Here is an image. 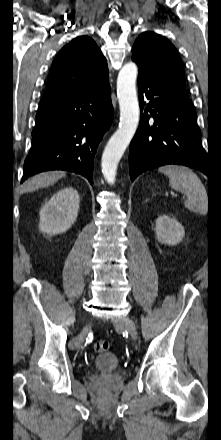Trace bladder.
<instances>
[{
	"label": "bladder",
	"instance_id": "31cf9c89",
	"mask_svg": "<svg viewBox=\"0 0 221 440\" xmlns=\"http://www.w3.org/2000/svg\"><path fill=\"white\" fill-rule=\"evenodd\" d=\"M119 364L120 361L117 355L109 352L98 354L93 361L94 368L100 371H110L116 369Z\"/></svg>",
	"mask_w": 221,
	"mask_h": 440
}]
</instances>
